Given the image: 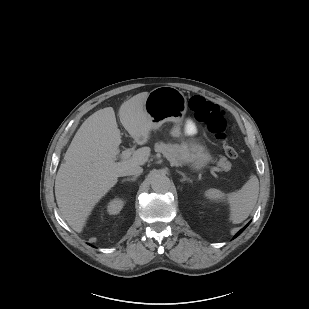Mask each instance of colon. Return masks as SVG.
<instances>
[{
	"label": "colon",
	"instance_id": "colon-1",
	"mask_svg": "<svg viewBox=\"0 0 309 309\" xmlns=\"http://www.w3.org/2000/svg\"><path fill=\"white\" fill-rule=\"evenodd\" d=\"M189 108L195 119L203 123L208 131L223 143L225 154L229 158H236L238 151L227 141L225 112L217 104L199 95L189 100Z\"/></svg>",
	"mask_w": 309,
	"mask_h": 309
}]
</instances>
